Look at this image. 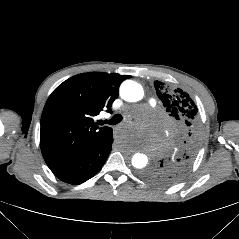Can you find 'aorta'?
<instances>
[{
    "label": "aorta",
    "mask_w": 239,
    "mask_h": 239,
    "mask_svg": "<svg viewBox=\"0 0 239 239\" xmlns=\"http://www.w3.org/2000/svg\"><path fill=\"white\" fill-rule=\"evenodd\" d=\"M121 97L128 102H136L143 98L144 92L140 84L132 80H126L120 87ZM151 155L146 152L136 151L132 156L131 163L137 169H143L150 162Z\"/></svg>",
    "instance_id": "aorta-1"
}]
</instances>
